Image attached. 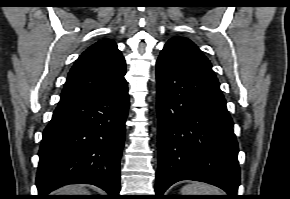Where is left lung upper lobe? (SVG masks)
Masks as SVG:
<instances>
[{
  "label": "left lung upper lobe",
  "mask_w": 290,
  "mask_h": 199,
  "mask_svg": "<svg viewBox=\"0 0 290 199\" xmlns=\"http://www.w3.org/2000/svg\"><path fill=\"white\" fill-rule=\"evenodd\" d=\"M162 51L170 53L177 57L182 63L216 78L210 61L189 39L174 37L165 44Z\"/></svg>",
  "instance_id": "5c2ea615"
}]
</instances>
